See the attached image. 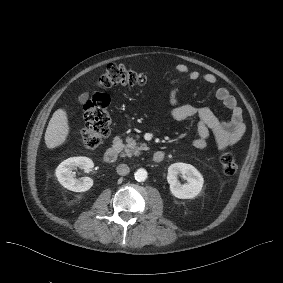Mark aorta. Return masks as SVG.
Returning <instances> with one entry per match:
<instances>
[{
  "instance_id": "762f6f07",
  "label": "aorta",
  "mask_w": 283,
  "mask_h": 283,
  "mask_svg": "<svg viewBox=\"0 0 283 283\" xmlns=\"http://www.w3.org/2000/svg\"><path fill=\"white\" fill-rule=\"evenodd\" d=\"M135 180L144 182L147 179V171L145 169H138L134 174Z\"/></svg>"
}]
</instances>
